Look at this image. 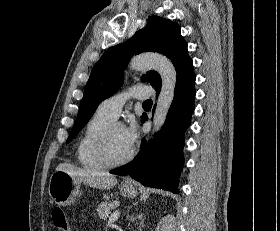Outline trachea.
I'll use <instances>...</instances> for the list:
<instances>
[{"label": "trachea", "mask_w": 280, "mask_h": 231, "mask_svg": "<svg viewBox=\"0 0 280 231\" xmlns=\"http://www.w3.org/2000/svg\"><path fill=\"white\" fill-rule=\"evenodd\" d=\"M152 107V100H146L143 102V108L145 110H149Z\"/></svg>", "instance_id": "3493384b"}]
</instances>
